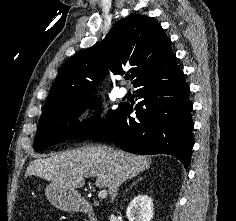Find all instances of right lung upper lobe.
I'll return each mask as SVG.
<instances>
[{"label": "right lung upper lobe", "mask_w": 236, "mask_h": 221, "mask_svg": "<svg viewBox=\"0 0 236 221\" xmlns=\"http://www.w3.org/2000/svg\"><path fill=\"white\" fill-rule=\"evenodd\" d=\"M174 56L162 27L144 15L133 14L115 23L98 45L70 57L50 89L43 111L94 95L96 82L108 73L130 67L133 84L166 65Z\"/></svg>", "instance_id": "obj_1"}]
</instances>
